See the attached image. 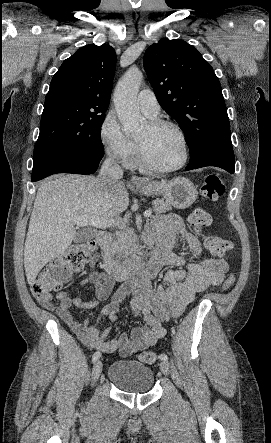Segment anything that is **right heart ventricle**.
<instances>
[{"label": "right heart ventricle", "mask_w": 271, "mask_h": 443, "mask_svg": "<svg viewBox=\"0 0 271 443\" xmlns=\"http://www.w3.org/2000/svg\"><path fill=\"white\" fill-rule=\"evenodd\" d=\"M137 163H138V160H137V157H136V155H135V156L133 157V160H132V162L130 163V165H132V166H136Z\"/></svg>", "instance_id": "obj_1"}]
</instances>
